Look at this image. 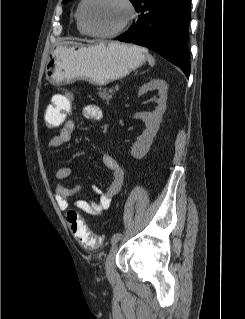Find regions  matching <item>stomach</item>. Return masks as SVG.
<instances>
[{"instance_id":"1","label":"stomach","mask_w":245,"mask_h":319,"mask_svg":"<svg viewBox=\"0 0 245 319\" xmlns=\"http://www.w3.org/2000/svg\"><path fill=\"white\" fill-rule=\"evenodd\" d=\"M146 58L144 48L119 42L61 45L51 52L45 75L55 86L78 80L105 85L125 77L143 65Z\"/></svg>"}]
</instances>
